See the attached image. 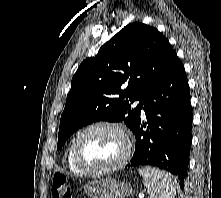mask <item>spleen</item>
I'll use <instances>...</instances> for the list:
<instances>
[{
	"label": "spleen",
	"instance_id": "3e777b00",
	"mask_svg": "<svg viewBox=\"0 0 221 198\" xmlns=\"http://www.w3.org/2000/svg\"><path fill=\"white\" fill-rule=\"evenodd\" d=\"M143 176L148 198H174L176 187L171 177L162 170L144 166L138 169Z\"/></svg>",
	"mask_w": 221,
	"mask_h": 198
}]
</instances>
